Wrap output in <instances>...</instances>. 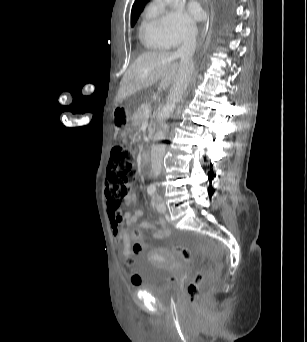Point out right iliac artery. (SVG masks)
Returning <instances> with one entry per match:
<instances>
[{
	"mask_svg": "<svg viewBox=\"0 0 307 342\" xmlns=\"http://www.w3.org/2000/svg\"><path fill=\"white\" fill-rule=\"evenodd\" d=\"M148 194L149 195H153L154 194V192H155V187H153V188H148Z\"/></svg>",
	"mask_w": 307,
	"mask_h": 342,
	"instance_id": "82829eb1",
	"label": "right iliac artery"
}]
</instances>
